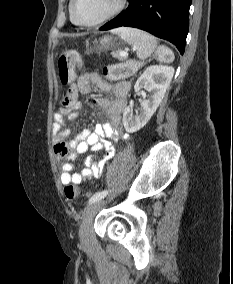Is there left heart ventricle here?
<instances>
[{"mask_svg": "<svg viewBox=\"0 0 233 284\" xmlns=\"http://www.w3.org/2000/svg\"><path fill=\"white\" fill-rule=\"evenodd\" d=\"M118 0H77L75 13L82 22H94L108 14Z\"/></svg>", "mask_w": 233, "mask_h": 284, "instance_id": "obj_1", "label": "left heart ventricle"}]
</instances>
